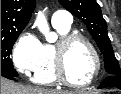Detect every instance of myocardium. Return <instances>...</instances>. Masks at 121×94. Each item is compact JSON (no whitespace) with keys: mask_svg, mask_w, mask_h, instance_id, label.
<instances>
[{"mask_svg":"<svg viewBox=\"0 0 121 94\" xmlns=\"http://www.w3.org/2000/svg\"><path fill=\"white\" fill-rule=\"evenodd\" d=\"M77 41L83 42L89 48V50L91 51V54L94 58V61H95V72H94L93 76L87 82H84V83H75L74 81H72L69 78V76L67 74V69H66L67 51H68L69 47ZM101 67H102L101 59H100L97 49L95 48L93 43L88 38H86L85 36H83L81 34L71 33V34L62 36L59 39V41L54 45L55 77L60 83L66 85V86L79 88V87H86V86L91 85L98 78V76L101 72Z\"/></svg>","mask_w":121,"mask_h":94,"instance_id":"1","label":"myocardium"}]
</instances>
